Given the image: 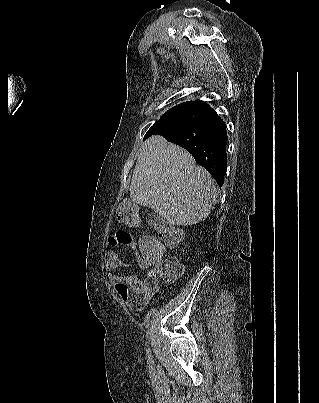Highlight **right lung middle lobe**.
I'll use <instances>...</instances> for the list:
<instances>
[{
	"label": "right lung middle lobe",
	"instance_id": "dd1d6c3e",
	"mask_svg": "<svg viewBox=\"0 0 319 403\" xmlns=\"http://www.w3.org/2000/svg\"><path fill=\"white\" fill-rule=\"evenodd\" d=\"M211 114H213L211 109L199 104L185 102L176 105L153 124L147 131L144 140L162 129L184 126Z\"/></svg>",
	"mask_w": 319,
	"mask_h": 403
}]
</instances>
